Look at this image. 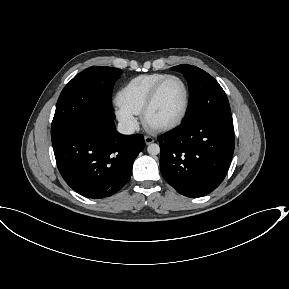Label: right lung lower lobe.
<instances>
[{
	"instance_id": "98d812e1",
	"label": "right lung lower lobe",
	"mask_w": 289,
	"mask_h": 289,
	"mask_svg": "<svg viewBox=\"0 0 289 289\" xmlns=\"http://www.w3.org/2000/svg\"><path fill=\"white\" fill-rule=\"evenodd\" d=\"M60 174L79 194L104 198L129 180L132 165L145 147L139 134L122 135L113 121L91 119L52 141Z\"/></svg>"
}]
</instances>
